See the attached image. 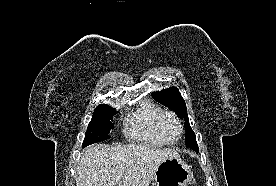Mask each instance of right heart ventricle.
Instances as JSON below:
<instances>
[{
    "label": "right heart ventricle",
    "instance_id": "e07e8e85",
    "mask_svg": "<svg viewBox=\"0 0 276 186\" xmlns=\"http://www.w3.org/2000/svg\"><path fill=\"white\" fill-rule=\"evenodd\" d=\"M163 110L151 103L143 105L125 123V133L133 140L152 146H164L166 143L156 131V120Z\"/></svg>",
    "mask_w": 276,
    "mask_h": 186
}]
</instances>
